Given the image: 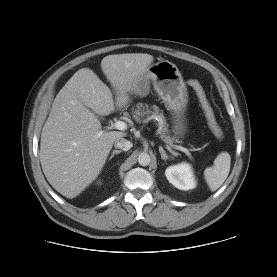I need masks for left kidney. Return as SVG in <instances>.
I'll list each match as a JSON object with an SVG mask.
<instances>
[{
    "mask_svg": "<svg viewBox=\"0 0 277 277\" xmlns=\"http://www.w3.org/2000/svg\"><path fill=\"white\" fill-rule=\"evenodd\" d=\"M165 176L167 180L179 190L187 191L196 187L193 170L188 163H180L167 167Z\"/></svg>",
    "mask_w": 277,
    "mask_h": 277,
    "instance_id": "obj_1",
    "label": "left kidney"
}]
</instances>
